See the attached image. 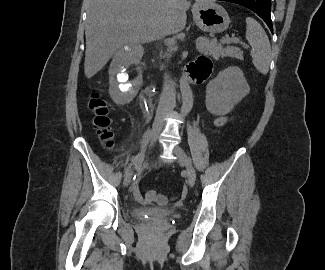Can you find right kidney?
Returning a JSON list of instances; mask_svg holds the SVG:
<instances>
[{
  "label": "right kidney",
  "instance_id": "1",
  "mask_svg": "<svg viewBox=\"0 0 325 270\" xmlns=\"http://www.w3.org/2000/svg\"><path fill=\"white\" fill-rule=\"evenodd\" d=\"M140 58L139 53L128 46L115 53L109 68V93L116 104H127L137 95L143 82ZM130 72L135 73L133 78H129Z\"/></svg>",
  "mask_w": 325,
  "mask_h": 270
}]
</instances>
